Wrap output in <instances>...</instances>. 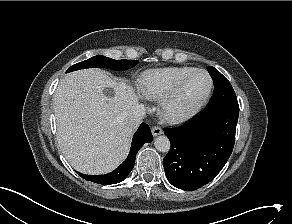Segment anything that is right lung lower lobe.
Returning <instances> with one entry per match:
<instances>
[{"label": "right lung lower lobe", "instance_id": "98d812e1", "mask_svg": "<svg viewBox=\"0 0 292 224\" xmlns=\"http://www.w3.org/2000/svg\"><path fill=\"white\" fill-rule=\"evenodd\" d=\"M153 139L150 128L147 124L142 123L133 136L130 153L126 160L114 171L104 175H85L77 172L85 180L110 185L116 184L124 180L130 171L133 169L135 163L136 153L146 142H151Z\"/></svg>", "mask_w": 292, "mask_h": 224}]
</instances>
